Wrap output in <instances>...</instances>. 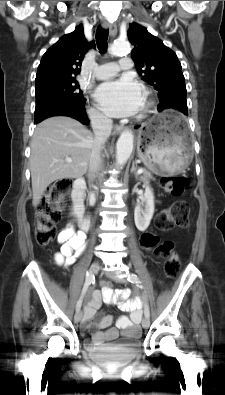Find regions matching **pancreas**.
Wrapping results in <instances>:
<instances>
[{"label": "pancreas", "instance_id": "cf45deb5", "mask_svg": "<svg viewBox=\"0 0 225 395\" xmlns=\"http://www.w3.org/2000/svg\"><path fill=\"white\" fill-rule=\"evenodd\" d=\"M152 178H153V176H152L151 172H149L147 170L143 171V176H142L143 180H149V179H152Z\"/></svg>", "mask_w": 225, "mask_h": 395}]
</instances>
